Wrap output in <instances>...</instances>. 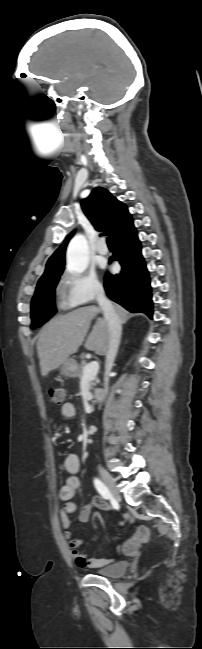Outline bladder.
Instances as JSON below:
<instances>
[{"mask_svg":"<svg viewBox=\"0 0 202 649\" xmlns=\"http://www.w3.org/2000/svg\"><path fill=\"white\" fill-rule=\"evenodd\" d=\"M128 568L127 561H117L103 568L98 569L95 573L99 576L116 578L123 575Z\"/></svg>","mask_w":202,"mask_h":649,"instance_id":"bladder-1","label":"bladder"}]
</instances>
